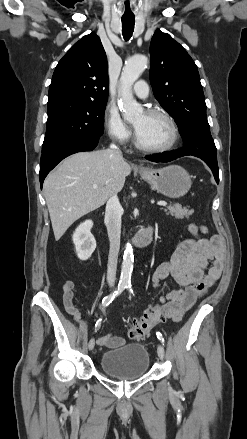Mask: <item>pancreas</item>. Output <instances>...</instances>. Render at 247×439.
Wrapping results in <instances>:
<instances>
[{
	"label": "pancreas",
	"mask_w": 247,
	"mask_h": 439,
	"mask_svg": "<svg viewBox=\"0 0 247 439\" xmlns=\"http://www.w3.org/2000/svg\"><path fill=\"white\" fill-rule=\"evenodd\" d=\"M167 215L174 216L176 219H183L184 217L188 218L192 215V211L188 210L186 207L182 208L180 204H173L164 209Z\"/></svg>",
	"instance_id": "obj_1"
}]
</instances>
